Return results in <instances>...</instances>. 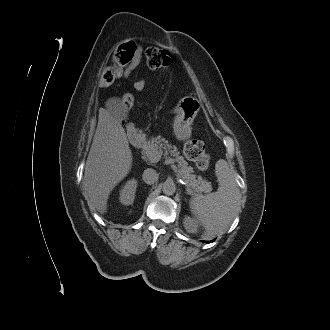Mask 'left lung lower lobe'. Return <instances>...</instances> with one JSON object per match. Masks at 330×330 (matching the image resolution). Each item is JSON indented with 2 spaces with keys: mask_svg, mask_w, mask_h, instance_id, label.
Wrapping results in <instances>:
<instances>
[{
  "mask_svg": "<svg viewBox=\"0 0 330 330\" xmlns=\"http://www.w3.org/2000/svg\"><path fill=\"white\" fill-rule=\"evenodd\" d=\"M214 240H212V241H206V243H211V242H213Z\"/></svg>",
  "mask_w": 330,
  "mask_h": 330,
  "instance_id": "0a47b994",
  "label": "left lung lower lobe"
}]
</instances>
